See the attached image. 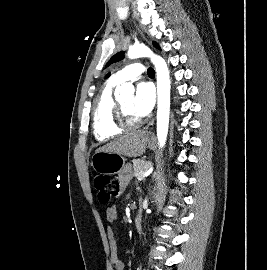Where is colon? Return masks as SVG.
<instances>
[{"label":"colon","instance_id":"5ec220e1","mask_svg":"<svg viewBox=\"0 0 267 270\" xmlns=\"http://www.w3.org/2000/svg\"><path fill=\"white\" fill-rule=\"evenodd\" d=\"M94 188L97 191L101 203L107 204L112 198L118 196L121 191L120 182L104 174H98L93 180Z\"/></svg>","mask_w":267,"mask_h":270}]
</instances>
